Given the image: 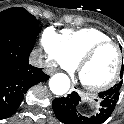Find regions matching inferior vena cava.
I'll return each instance as SVG.
<instances>
[{"mask_svg": "<svg viewBox=\"0 0 124 124\" xmlns=\"http://www.w3.org/2000/svg\"><path fill=\"white\" fill-rule=\"evenodd\" d=\"M30 64L35 67H42L44 65L42 55L37 52L33 53L30 57Z\"/></svg>", "mask_w": 124, "mask_h": 124, "instance_id": "inferior-vena-cava-1", "label": "inferior vena cava"}]
</instances>
